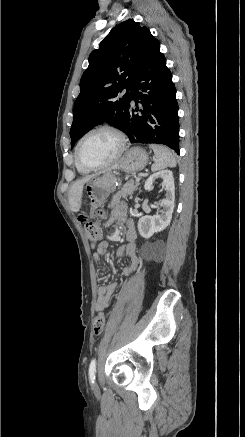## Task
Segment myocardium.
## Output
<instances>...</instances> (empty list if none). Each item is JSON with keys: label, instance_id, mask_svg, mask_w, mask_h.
<instances>
[{"label": "myocardium", "instance_id": "obj_1", "mask_svg": "<svg viewBox=\"0 0 245 437\" xmlns=\"http://www.w3.org/2000/svg\"><path fill=\"white\" fill-rule=\"evenodd\" d=\"M103 130L113 133L118 138L119 148H118L117 153L115 154V156L112 159H110L109 161H107L103 164L86 163L85 161H83V159L81 158V155H80V147H81L82 142L90 134L97 132V131H103ZM126 149H127V137L123 133L122 130H120L119 128H117L113 125H110V124H100V125H97V126L90 128L79 138V140L77 141L76 147H75V157L81 166H83L87 169H90V170H99V169L108 168V167L114 165L115 163H117L124 155Z\"/></svg>", "mask_w": 245, "mask_h": 437}]
</instances>
